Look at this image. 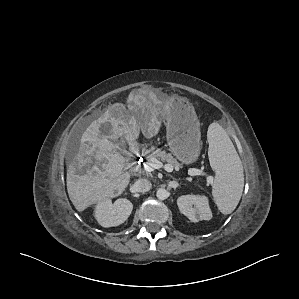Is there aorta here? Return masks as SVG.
<instances>
[{
	"label": "aorta",
	"instance_id": "obj_1",
	"mask_svg": "<svg viewBox=\"0 0 299 299\" xmlns=\"http://www.w3.org/2000/svg\"><path fill=\"white\" fill-rule=\"evenodd\" d=\"M156 196L159 200H165L168 198L169 193L166 189L164 188H159L156 192Z\"/></svg>",
	"mask_w": 299,
	"mask_h": 299
}]
</instances>
